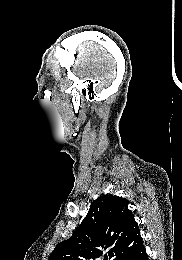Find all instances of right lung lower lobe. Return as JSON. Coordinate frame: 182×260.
<instances>
[{"label": "right lung lower lobe", "instance_id": "obj_1", "mask_svg": "<svg viewBox=\"0 0 182 260\" xmlns=\"http://www.w3.org/2000/svg\"><path fill=\"white\" fill-rule=\"evenodd\" d=\"M117 260H148L143 241L124 252Z\"/></svg>", "mask_w": 182, "mask_h": 260}]
</instances>
